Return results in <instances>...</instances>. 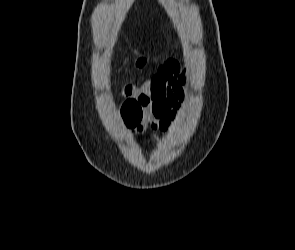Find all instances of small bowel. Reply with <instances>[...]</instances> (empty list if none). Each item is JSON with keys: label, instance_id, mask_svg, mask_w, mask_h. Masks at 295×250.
<instances>
[{"label": "small bowel", "instance_id": "c3829d8e", "mask_svg": "<svg viewBox=\"0 0 295 250\" xmlns=\"http://www.w3.org/2000/svg\"><path fill=\"white\" fill-rule=\"evenodd\" d=\"M186 91V76L174 59L164 62L142 85H126L123 96L138 101L144 114L133 132L141 133L148 128L163 132L172 130L179 120Z\"/></svg>", "mask_w": 295, "mask_h": 250}]
</instances>
